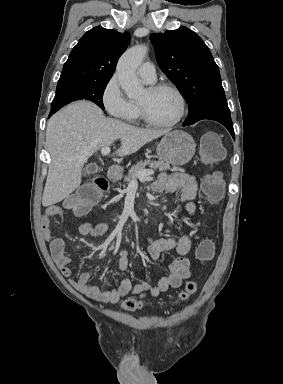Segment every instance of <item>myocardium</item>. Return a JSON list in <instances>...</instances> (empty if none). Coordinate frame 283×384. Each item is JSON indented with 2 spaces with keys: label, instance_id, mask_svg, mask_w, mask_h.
I'll list each match as a JSON object with an SVG mask.
<instances>
[{
  "label": "myocardium",
  "instance_id": "myocardium-1",
  "mask_svg": "<svg viewBox=\"0 0 283 384\" xmlns=\"http://www.w3.org/2000/svg\"><path fill=\"white\" fill-rule=\"evenodd\" d=\"M149 89L151 91H159V90L171 91L176 96V98L178 100L179 111H178L177 116L172 121H170L168 123H159V122L152 120L148 116L144 106L138 102L139 116L142 119V121L146 125H148L152 128L162 129V130L170 129V128L176 126L183 119V117L185 115V110H186L185 98H184L183 94L181 93V91L176 86H174L173 84H170L167 82L152 84L149 86Z\"/></svg>",
  "mask_w": 283,
  "mask_h": 384
}]
</instances>
